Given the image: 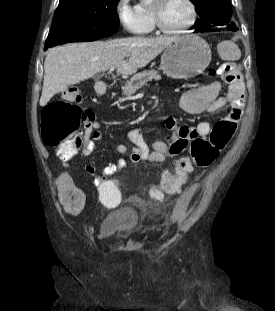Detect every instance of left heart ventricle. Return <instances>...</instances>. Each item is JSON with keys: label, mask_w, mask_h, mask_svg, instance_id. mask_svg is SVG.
Returning <instances> with one entry per match:
<instances>
[{"label": "left heart ventricle", "mask_w": 275, "mask_h": 311, "mask_svg": "<svg viewBox=\"0 0 275 311\" xmlns=\"http://www.w3.org/2000/svg\"><path fill=\"white\" fill-rule=\"evenodd\" d=\"M160 13L162 22L168 29L183 27L191 17L189 6L185 0L166 1L161 5Z\"/></svg>", "instance_id": "b2bd125f"}]
</instances>
